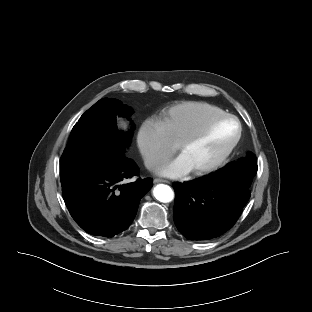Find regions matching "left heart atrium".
Returning <instances> with one entry per match:
<instances>
[{"mask_svg": "<svg viewBox=\"0 0 312 312\" xmlns=\"http://www.w3.org/2000/svg\"><path fill=\"white\" fill-rule=\"evenodd\" d=\"M192 170L191 166L185 159L183 155H179L173 161L164 165L160 170L159 173L171 177V178H178Z\"/></svg>", "mask_w": 312, "mask_h": 312, "instance_id": "left-heart-atrium-1", "label": "left heart atrium"}]
</instances>
